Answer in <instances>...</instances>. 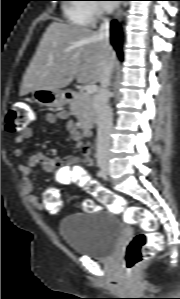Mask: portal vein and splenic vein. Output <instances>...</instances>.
Here are the masks:
<instances>
[{
  "mask_svg": "<svg viewBox=\"0 0 180 299\" xmlns=\"http://www.w3.org/2000/svg\"><path fill=\"white\" fill-rule=\"evenodd\" d=\"M85 93L87 94H93L97 91V86L96 85H86L84 87Z\"/></svg>",
  "mask_w": 180,
  "mask_h": 299,
  "instance_id": "portal-vein-and-splenic-vein-1",
  "label": "portal vein and splenic vein"
}]
</instances>
